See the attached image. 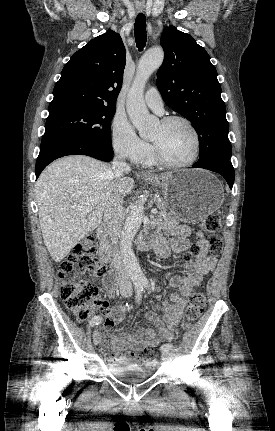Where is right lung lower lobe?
Returning <instances> with one entry per match:
<instances>
[{
	"label": "right lung lower lobe",
	"mask_w": 275,
	"mask_h": 431,
	"mask_svg": "<svg viewBox=\"0 0 275 431\" xmlns=\"http://www.w3.org/2000/svg\"><path fill=\"white\" fill-rule=\"evenodd\" d=\"M66 155H87L102 161L113 158V149L101 142L68 135L43 137L36 161V179L53 160Z\"/></svg>",
	"instance_id": "obj_1"
}]
</instances>
